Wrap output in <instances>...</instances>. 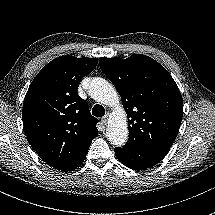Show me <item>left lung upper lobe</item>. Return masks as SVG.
I'll use <instances>...</instances> for the list:
<instances>
[{
  "mask_svg": "<svg viewBox=\"0 0 215 215\" xmlns=\"http://www.w3.org/2000/svg\"><path fill=\"white\" fill-rule=\"evenodd\" d=\"M99 64L120 94L128 116L129 140L124 146L169 149L181 124L183 101L168 71L142 54L127 59L102 57Z\"/></svg>",
  "mask_w": 215,
  "mask_h": 215,
  "instance_id": "left-lung-upper-lobe-1",
  "label": "left lung upper lobe"
}]
</instances>
